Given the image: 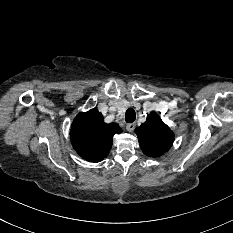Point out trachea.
Listing matches in <instances>:
<instances>
[{
	"instance_id": "trachea-1",
	"label": "trachea",
	"mask_w": 233,
	"mask_h": 233,
	"mask_svg": "<svg viewBox=\"0 0 233 233\" xmlns=\"http://www.w3.org/2000/svg\"><path fill=\"white\" fill-rule=\"evenodd\" d=\"M136 119V113L133 108H129L125 114V120L127 123H132Z\"/></svg>"
}]
</instances>
